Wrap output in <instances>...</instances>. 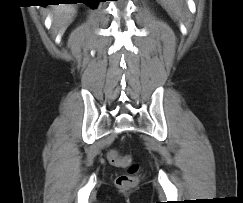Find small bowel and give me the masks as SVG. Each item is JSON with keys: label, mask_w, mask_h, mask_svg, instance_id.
<instances>
[{"label": "small bowel", "mask_w": 243, "mask_h": 203, "mask_svg": "<svg viewBox=\"0 0 243 203\" xmlns=\"http://www.w3.org/2000/svg\"><path fill=\"white\" fill-rule=\"evenodd\" d=\"M108 160H109L110 163H112V162L110 161L109 157H108ZM112 164H113V163H112ZM113 165L120 167L119 165H116V164H113Z\"/></svg>", "instance_id": "small-bowel-1"}]
</instances>
